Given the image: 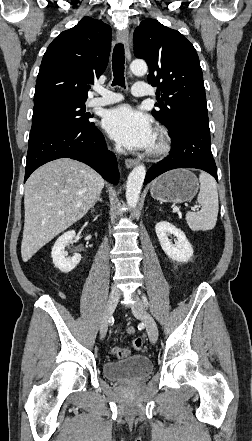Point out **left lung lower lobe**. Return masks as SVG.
<instances>
[{"label":"left lung lower lobe","mask_w":252,"mask_h":441,"mask_svg":"<svg viewBox=\"0 0 252 441\" xmlns=\"http://www.w3.org/2000/svg\"><path fill=\"white\" fill-rule=\"evenodd\" d=\"M169 135L172 141L170 155L149 168L144 184L176 168L202 169L218 180L208 121L196 117L184 119Z\"/></svg>","instance_id":"left-lung-lower-lobe-1"}]
</instances>
